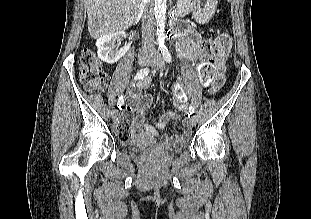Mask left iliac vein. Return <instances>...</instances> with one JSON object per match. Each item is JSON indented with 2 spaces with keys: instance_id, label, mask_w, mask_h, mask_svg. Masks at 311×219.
<instances>
[{
  "instance_id": "1",
  "label": "left iliac vein",
  "mask_w": 311,
  "mask_h": 219,
  "mask_svg": "<svg viewBox=\"0 0 311 219\" xmlns=\"http://www.w3.org/2000/svg\"><path fill=\"white\" fill-rule=\"evenodd\" d=\"M150 65L157 70H163L165 63L161 56H157L150 61ZM188 122L190 126H195L196 117L194 115L190 116Z\"/></svg>"
}]
</instances>
